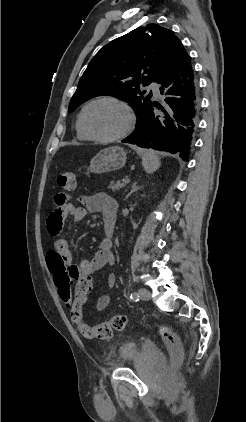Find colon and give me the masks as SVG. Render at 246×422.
Here are the masks:
<instances>
[{
    "label": "colon",
    "instance_id": "colon-1",
    "mask_svg": "<svg viewBox=\"0 0 246 422\" xmlns=\"http://www.w3.org/2000/svg\"><path fill=\"white\" fill-rule=\"evenodd\" d=\"M57 185L65 191L75 189V174L73 172H63L57 177ZM49 271L53 276L54 284L57 288L59 298L70 310V320L77 326L80 333L88 339L108 340L115 331H122L127 320L124 316L117 315L108 321L95 326H89L83 321V306L92 289V276H84L76 279L77 283L74 292L71 291V281L73 272L66 263L63 256L50 250L46 256ZM159 334L170 355L174 360H180L183 356L182 345L177 334L167 326L158 327Z\"/></svg>",
    "mask_w": 246,
    "mask_h": 422
}]
</instances>
